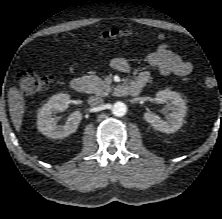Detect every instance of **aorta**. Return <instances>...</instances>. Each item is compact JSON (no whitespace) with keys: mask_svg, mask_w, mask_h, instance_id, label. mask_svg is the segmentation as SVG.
I'll use <instances>...</instances> for the list:
<instances>
[{"mask_svg":"<svg viewBox=\"0 0 222 219\" xmlns=\"http://www.w3.org/2000/svg\"><path fill=\"white\" fill-rule=\"evenodd\" d=\"M127 107L123 102H116L112 106V113L117 117H122L126 114Z\"/></svg>","mask_w":222,"mask_h":219,"instance_id":"762f6f07","label":"aorta"}]
</instances>
